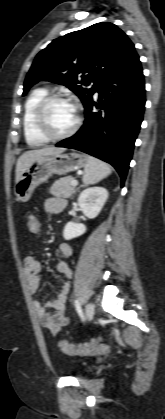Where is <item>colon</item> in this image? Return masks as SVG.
Wrapping results in <instances>:
<instances>
[{"instance_id": "1", "label": "colon", "mask_w": 165, "mask_h": 419, "mask_svg": "<svg viewBox=\"0 0 165 419\" xmlns=\"http://www.w3.org/2000/svg\"><path fill=\"white\" fill-rule=\"evenodd\" d=\"M40 223L39 220L35 216H31L28 220V229L30 232H37L39 229ZM98 343L97 339H91L90 341L80 343V344H72L66 340H61L59 342L60 350L68 355L78 356L83 353H87L91 351L96 344Z\"/></svg>"}]
</instances>
